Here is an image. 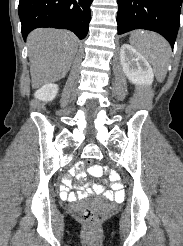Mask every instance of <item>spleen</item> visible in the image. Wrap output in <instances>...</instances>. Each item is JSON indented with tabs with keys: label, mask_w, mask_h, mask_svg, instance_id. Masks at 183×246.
<instances>
[{
	"label": "spleen",
	"mask_w": 183,
	"mask_h": 246,
	"mask_svg": "<svg viewBox=\"0 0 183 246\" xmlns=\"http://www.w3.org/2000/svg\"><path fill=\"white\" fill-rule=\"evenodd\" d=\"M130 43L145 55L153 65L156 78L163 82L167 75L171 48L169 43L159 34L150 31H134Z\"/></svg>",
	"instance_id": "1"
}]
</instances>
